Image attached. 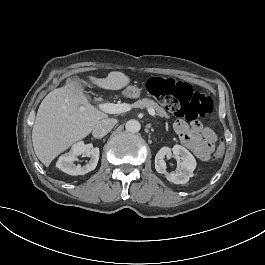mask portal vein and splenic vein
Instances as JSON below:
<instances>
[{"label":"portal vein and splenic vein","mask_w":265,"mask_h":265,"mask_svg":"<svg viewBox=\"0 0 265 265\" xmlns=\"http://www.w3.org/2000/svg\"><path fill=\"white\" fill-rule=\"evenodd\" d=\"M97 109L108 114H117L126 112L130 109V105L128 104H115V103H98L96 105ZM149 114L153 117L156 116V112L153 109L148 110Z\"/></svg>","instance_id":"1"}]
</instances>
